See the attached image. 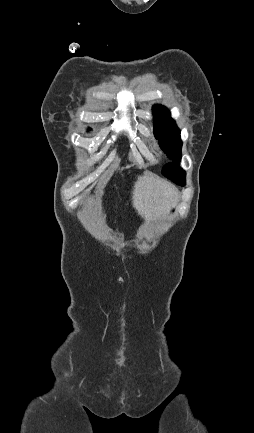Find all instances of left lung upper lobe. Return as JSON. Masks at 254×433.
<instances>
[{
  "label": "left lung upper lobe",
  "instance_id": "1",
  "mask_svg": "<svg viewBox=\"0 0 254 433\" xmlns=\"http://www.w3.org/2000/svg\"><path fill=\"white\" fill-rule=\"evenodd\" d=\"M153 113L156 116L154 124V135L159 139L161 148L173 160V163L163 168L162 174L174 183L184 186L186 173L179 167L181 160L182 142L180 130L170 118V112L164 106L155 105Z\"/></svg>",
  "mask_w": 254,
  "mask_h": 433
}]
</instances>
